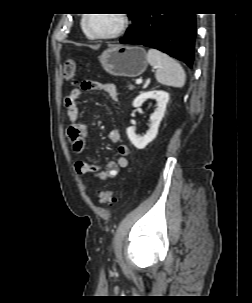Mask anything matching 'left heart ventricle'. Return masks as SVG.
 I'll return each instance as SVG.
<instances>
[{"label": "left heart ventricle", "instance_id": "b2bd125f", "mask_svg": "<svg viewBox=\"0 0 252 303\" xmlns=\"http://www.w3.org/2000/svg\"><path fill=\"white\" fill-rule=\"evenodd\" d=\"M119 25L117 14H92L87 21V27L92 33H107Z\"/></svg>", "mask_w": 252, "mask_h": 303}]
</instances>
